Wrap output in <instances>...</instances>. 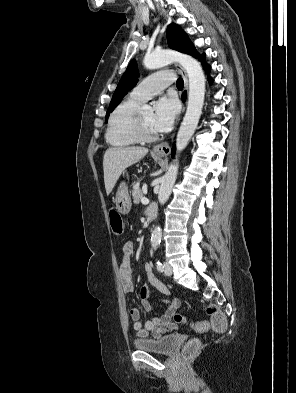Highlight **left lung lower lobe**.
Instances as JSON below:
<instances>
[{"label":"left lung lower lobe","mask_w":296,"mask_h":393,"mask_svg":"<svg viewBox=\"0 0 296 393\" xmlns=\"http://www.w3.org/2000/svg\"><path fill=\"white\" fill-rule=\"evenodd\" d=\"M199 61L202 63V65H203V67L205 68V70L207 71V73H209V71H210V66L205 62V54H203V55H201L200 57H199ZM210 80V82L212 81L211 79H209ZM185 99V93H184V95H183V100ZM174 153H175V146H173V148H172V156L174 155Z\"/></svg>","instance_id":"0a47b994"}]
</instances>
